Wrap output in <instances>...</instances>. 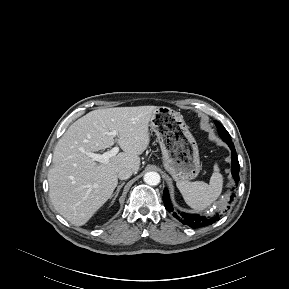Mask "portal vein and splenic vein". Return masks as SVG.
<instances>
[{
  "label": "portal vein and splenic vein",
  "instance_id": "1",
  "mask_svg": "<svg viewBox=\"0 0 289 289\" xmlns=\"http://www.w3.org/2000/svg\"><path fill=\"white\" fill-rule=\"evenodd\" d=\"M108 134L113 136V137L117 136V132L115 130L109 132ZM118 152H119V147L115 146L110 151H107V152H105L103 154H96V153H93V152H87L86 154L93 161H97L99 163L106 164V163L109 162L110 158L115 156Z\"/></svg>",
  "mask_w": 289,
  "mask_h": 289
}]
</instances>
